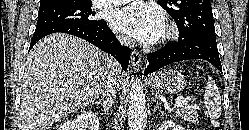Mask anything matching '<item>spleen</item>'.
Masks as SVG:
<instances>
[{"instance_id": "1", "label": "spleen", "mask_w": 249, "mask_h": 130, "mask_svg": "<svg viewBox=\"0 0 249 130\" xmlns=\"http://www.w3.org/2000/svg\"><path fill=\"white\" fill-rule=\"evenodd\" d=\"M203 99L207 113L211 119V124L215 127H219V122L215 119L221 115V96L216 84L211 78L208 79Z\"/></svg>"}]
</instances>
